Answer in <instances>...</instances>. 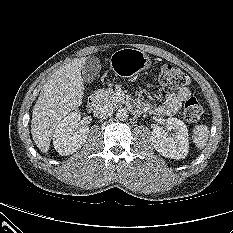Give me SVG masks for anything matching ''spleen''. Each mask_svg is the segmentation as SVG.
Masks as SVG:
<instances>
[{"label": "spleen", "mask_w": 233, "mask_h": 233, "mask_svg": "<svg viewBox=\"0 0 233 233\" xmlns=\"http://www.w3.org/2000/svg\"><path fill=\"white\" fill-rule=\"evenodd\" d=\"M209 138V128L206 125H196L193 128V142L196 147L201 149L207 144Z\"/></svg>", "instance_id": "spleen-1"}]
</instances>
